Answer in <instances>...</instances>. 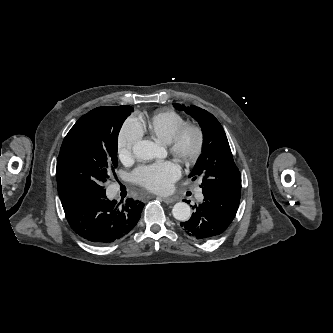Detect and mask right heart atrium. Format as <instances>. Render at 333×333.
<instances>
[{
	"label": "right heart atrium",
	"instance_id": "obj_1",
	"mask_svg": "<svg viewBox=\"0 0 333 333\" xmlns=\"http://www.w3.org/2000/svg\"><path fill=\"white\" fill-rule=\"evenodd\" d=\"M142 137V128L138 120L131 116L123 123L117 137V155L120 160H128L136 143Z\"/></svg>",
	"mask_w": 333,
	"mask_h": 333
}]
</instances>
